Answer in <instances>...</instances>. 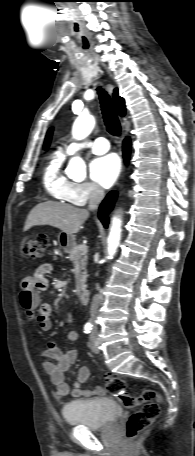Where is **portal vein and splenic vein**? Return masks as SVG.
I'll list each match as a JSON object with an SVG mask.
<instances>
[{"mask_svg": "<svg viewBox=\"0 0 195 456\" xmlns=\"http://www.w3.org/2000/svg\"><path fill=\"white\" fill-rule=\"evenodd\" d=\"M88 247L86 245H81L80 250L87 252Z\"/></svg>", "mask_w": 195, "mask_h": 456, "instance_id": "1", "label": "portal vein and splenic vein"}]
</instances>
